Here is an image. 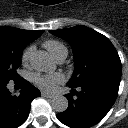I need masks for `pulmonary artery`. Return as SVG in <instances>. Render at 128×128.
Returning a JSON list of instances; mask_svg holds the SVG:
<instances>
[{
  "label": "pulmonary artery",
  "mask_w": 128,
  "mask_h": 128,
  "mask_svg": "<svg viewBox=\"0 0 128 128\" xmlns=\"http://www.w3.org/2000/svg\"><path fill=\"white\" fill-rule=\"evenodd\" d=\"M64 59H65V57H61V58L57 59V61H58L59 63H61V62L64 61Z\"/></svg>",
  "instance_id": "1"
}]
</instances>
